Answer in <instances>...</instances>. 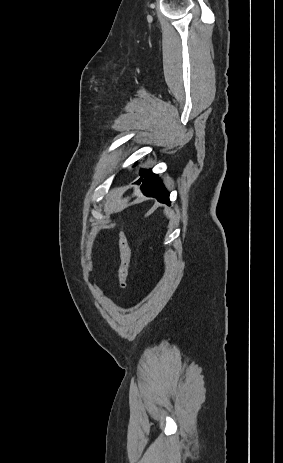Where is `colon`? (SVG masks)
<instances>
[{"label":"colon","mask_w":283,"mask_h":463,"mask_svg":"<svg viewBox=\"0 0 283 463\" xmlns=\"http://www.w3.org/2000/svg\"><path fill=\"white\" fill-rule=\"evenodd\" d=\"M119 255L120 263L117 270L118 286L121 290L127 287V280L129 275L131 251L128 244L127 236L124 231L118 233Z\"/></svg>","instance_id":"colon-1"}]
</instances>
